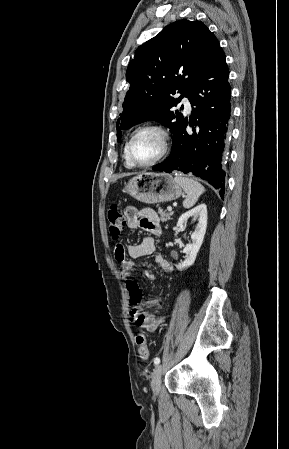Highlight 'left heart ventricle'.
Instances as JSON below:
<instances>
[{
	"mask_svg": "<svg viewBox=\"0 0 289 449\" xmlns=\"http://www.w3.org/2000/svg\"><path fill=\"white\" fill-rule=\"evenodd\" d=\"M160 148L159 137L153 132H144L134 140L132 154L137 162L146 163L159 154Z\"/></svg>",
	"mask_w": 289,
	"mask_h": 449,
	"instance_id": "obj_1",
	"label": "left heart ventricle"
}]
</instances>
